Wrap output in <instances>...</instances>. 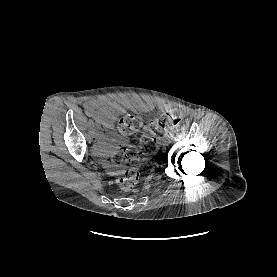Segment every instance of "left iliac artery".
I'll return each mask as SVG.
<instances>
[{
	"label": "left iliac artery",
	"mask_w": 277,
	"mask_h": 277,
	"mask_svg": "<svg viewBox=\"0 0 277 277\" xmlns=\"http://www.w3.org/2000/svg\"><path fill=\"white\" fill-rule=\"evenodd\" d=\"M177 130H173L170 132V136H174L176 134Z\"/></svg>",
	"instance_id": "1"
}]
</instances>
